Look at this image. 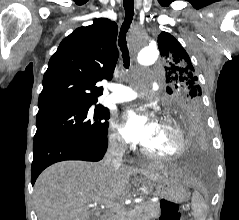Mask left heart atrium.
<instances>
[{
    "label": "left heart atrium",
    "mask_w": 239,
    "mask_h": 220,
    "mask_svg": "<svg viewBox=\"0 0 239 220\" xmlns=\"http://www.w3.org/2000/svg\"><path fill=\"white\" fill-rule=\"evenodd\" d=\"M153 124L148 115L130 110L124 116L120 133L126 141L143 145L152 133Z\"/></svg>",
    "instance_id": "1"
}]
</instances>
